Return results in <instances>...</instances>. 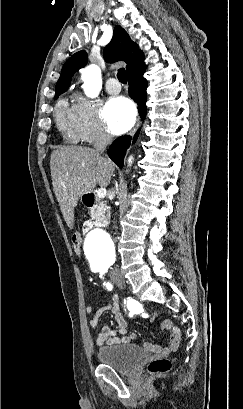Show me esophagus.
<instances>
[{
    "mask_svg": "<svg viewBox=\"0 0 243 409\" xmlns=\"http://www.w3.org/2000/svg\"><path fill=\"white\" fill-rule=\"evenodd\" d=\"M139 126H140V119H138V122H137L136 126H135V127L133 128V130L130 132V135H131V136L136 133V131L138 130Z\"/></svg>",
    "mask_w": 243,
    "mask_h": 409,
    "instance_id": "1",
    "label": "esophagus"
}]
</instances>
